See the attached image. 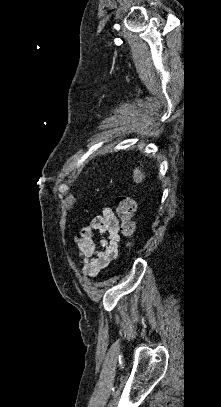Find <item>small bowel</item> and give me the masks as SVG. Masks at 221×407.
I'll list each match as a JSON object with an SVG mask.
<instances>
[{"mask_svg": "<svg viewBox=\"0 0 221 407\" xmlns=\"http://www.w3.org/2000/svg\"><path fill=\"white\" fill-rule=\"evenodd\" d=\"M118 226L117 216L112 209L106 207L101 215L81 228L79 236L74 237L84 275L95 277L117 256L120 240ZM96 235H100L98 241Z\"/></svg>", "mask_w": 221, "mask_h": 407, "instance_id": "small-bowel-1", "label": "small bowel"}]
</instances>
